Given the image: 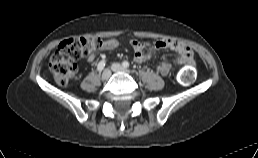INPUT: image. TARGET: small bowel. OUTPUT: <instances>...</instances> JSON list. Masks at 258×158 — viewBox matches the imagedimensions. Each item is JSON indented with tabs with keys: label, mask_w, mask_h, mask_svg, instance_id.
<instances>
[{
	"label": "small bowel",
	"mask_w": 258,
	"mask_h": 158,
	"mask_svg": "<svg viewBox=\"0 0 258 158\" xmlns=\"http://www.w3.org/2000/svg\"><path fill=\"white\" fill-rule=\"evenodd\" d=\"M131 47L134 50V61L137 63H143L149 59L152 55L163 49H172L178 53V58L175 61V65H192L193 52L191 48L184 42L177 39H163L158 40L153 44H146L136 39L130 41ZM119 45L118 41L114 38H108L103 41L101 47L102 50H113ZM96 59V53L91 51L87 54L86 60L89 63L94 62ZM174 69V65L169 62H161L156 70L163 76L169 75Z\"/></svg>",
	"instance_id": "obj_1"
}]
</instances>
